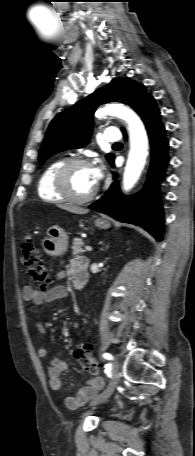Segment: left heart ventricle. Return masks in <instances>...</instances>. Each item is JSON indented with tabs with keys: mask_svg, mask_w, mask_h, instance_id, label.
<instances>
[{
	"mask_svg": "<svg viewBox=\"0 0 195 456\" xmlns=\"http://www.w3.org/2000/svg\"><path fill=\"white\" fill-rule=\"evenodd\" d=\"M69 186L71 191L78 196L91 193L95 188L92 168L88 166L74 167L69 173Z\"/></svg>",
	"mask_w": 195,
	"mask_h": 456,
	"instance_id": "1",
	"label": "left heart ventricle"
}]
</instances>
